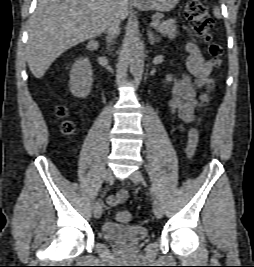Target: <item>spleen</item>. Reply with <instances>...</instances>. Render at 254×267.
Returning <instances> with one entry per match:
<instances>
[{
  "label": "spleen",
  "mask_w": 254,
  "mask_h": 267,
  "mask_svg": "<svg viewBox=\"0 0 254 267\" xmlns=\"http://www.w3.org/2000/svg\"><path fill=\"white\" fill-rule=\"evenodd\" d=\"M213 14L216 18L220 19L221 18V14H220V11L217 7L214 8L213 10Z\"/></svg>",
  "instance_id": "spleen-1"
}]
</instances>
